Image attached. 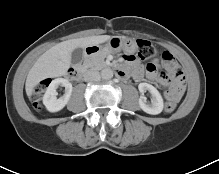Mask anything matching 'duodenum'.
<instances>
[{
    "label": "duodenum",
    "instance_id": "1",
    "mask_svg": "<svg viewBox=\"0 0 219 174\" xmlns=\"http://www.w3.org/2000/svg\"><path fill=\"white\" fill-rule=\"evenodd\" d=\"M99 52V48L98 47H90L86 49L85 52V56H84V61H86L89 56L96 54ZM84 66H79V67H73L69 69V76L73 79H80L83 76L84 73ZM116 74L117 76L121 77V78H126L127 74L125 73V71L123 69L118 68L116 70Z\"/></svg>",
    "mask_w": 219,
    "mask_h": 174
}]
</instances>
